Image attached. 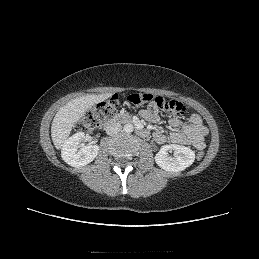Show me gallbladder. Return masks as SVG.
<instances>
[{
	"mask_svg": "<svg viewBox=\"0 0 259 259\" xmlns=\"http://www.w3.org/2000/svg\"><path fill=\"white\" fill-rule=\"evenodd\" d=\"M89 110H90L91 112H94V111H95V105L92 106Z\"/></svg>",
	"mask_w": 259,
	"mask_h": 259,
	"instance_id": "bac80fb5",
	"label": "gallbladder"
}]
</instances>
